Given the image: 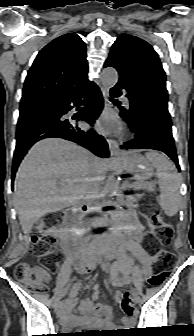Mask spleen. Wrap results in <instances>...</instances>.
Here are the masks:
<instances>
[{
	"instance_id": "1",
	"label": "spleen",
	"mask_w": 194,
	"mask_h": 336,
	"mask_svg": "<svg viewBox=\"0 0 194 336\" xmlns=\"http://www.w3.org/2000/svg\"><path fill=\"white\" fill-rule=\"evenodd\" d=\"M148 161L156 168L160 187V205L168 216H174L180 202V177L173 164L162 153L150 151L146 153Z\"/></svg>"
}]
</instances>
